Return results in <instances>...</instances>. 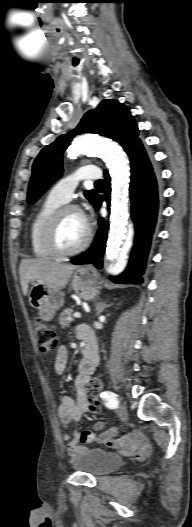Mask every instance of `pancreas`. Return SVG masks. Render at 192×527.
<instances>
[{"instance_id": "obj_1", "label": "pancreas", "mask_w": 192, "mask_h": 527, "mask_svg": "<svg viewBox=\"0 0 192 527\" xmlns=\"http://www.w3.org/2000/svg\"><path fill=\"white\" fill-rule=\"evenodd\" d=\"M72 312L73 309L67 308L60 314L59 322L62 326H67L74 320Z\"/></svg>"}]
</instances>
